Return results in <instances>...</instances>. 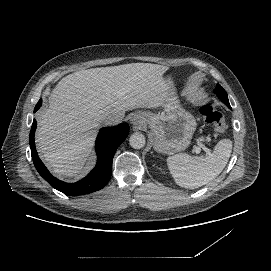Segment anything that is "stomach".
I'll return each instance as SVG.
<instances>
[{
  "label": "stomach",
  "instance_id": "0dacf381",
  "mask_svg": "<svg viewBox=\"0 0 271 271\" xmlns=\"http://www.w3.org/2000/svg\"><path fill=\"white\" fill-rule=\"evenodd\" d=\"M164 79L172 82L170 75L165 76ZM163 106L165 113L139 111L145 117L144 127L150 128L154 149L166 154L185 150L190 144L197 123L194 116L180 106L173 82L163 100Z\"/></svg>",
  "mask_w": 271,
  "mask_h": 271
}]
</instances>
